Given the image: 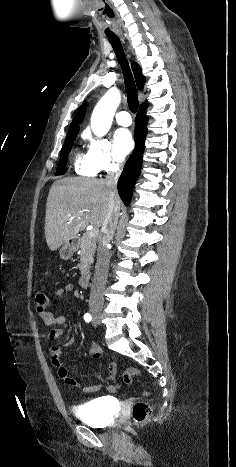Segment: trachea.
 <instances>
[{
    "label": "trachea",
    "instance_id": "3493384b",
    "mask_svg": "<svg viewBox=\"0 0 236 467\" xmlns=\"http://www.w3.org/2000/svg\"><path fill=\"white\" fill-rule=\"evenodd\" d=\"M108 40L111 43L122 68L129 109L132 113H136L139 104L136 85L129 67V63L124 54L121 42L117 37H109Z\"/></svg>",
    "mask_w": 236,
    "mask_h": 467
}]
</instances>
